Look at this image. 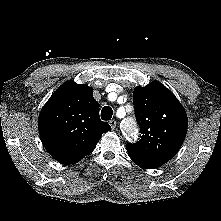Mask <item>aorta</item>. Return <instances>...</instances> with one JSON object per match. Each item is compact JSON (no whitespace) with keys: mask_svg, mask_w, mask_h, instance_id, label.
<instances>
[{"mask_svg":"<svg viewBox=\"0 0 221 221\" xmlns=\"http://www.w3.org/2000/svg\"><path fill=\"white\" fill-rule=\"evenodd\" d=\"M124 131H125V134L128 138H130V139L136 138V135H137L136 128L134 127V125L132 124L131 121H127L125 123Z\"/></svg>","mask_w":221,"mask_h":221,"instance_id":"1","label":"aorta"}]
</instances>
